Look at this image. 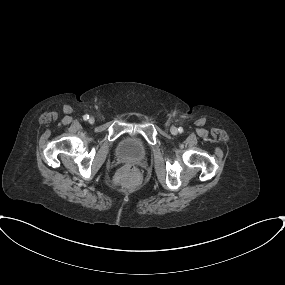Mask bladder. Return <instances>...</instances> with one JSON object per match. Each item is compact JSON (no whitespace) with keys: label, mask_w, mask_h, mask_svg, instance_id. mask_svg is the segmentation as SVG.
Masks as SVG:
<instances>
[{"label":"bladder","mask_w":285,"mask_h":285,"mask_svg":"<svg viewBox=\"0 0 285 285\" xmlns=\"http://www.w3.org/2000/svg\"><path fill=\"white\" fill-rule=\"evenodd\" d=\"M117 154L123 158L141 159L145 156L146 150L138 135L128 133L119 142Z\"/></svg>","instance_id":"1"}]
</instances>
